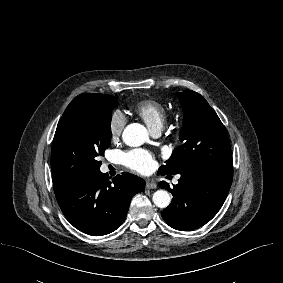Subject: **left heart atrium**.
Returning a JSON list of instances; mask_svg holds the SVG:
<instances>
[{"instance_id": "left-heart-atrium-1", "label": "left heart atrium", "mask_w": 283, "mask_h": 283, "mask_svg": "<svg viewBox=\"0 0 283 283\" xmlns=\"http://www.w3.org/2000/svg\"><path fill=\"white\" fill-rule=\"evenodd\" d=\"M126 167L136 172L146 174L154 169L156 162L151 152L144 149H133L123 155Z\"/></svg>"}]
</instances>
